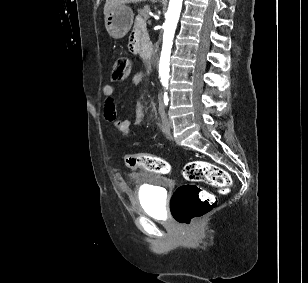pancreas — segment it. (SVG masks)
I'll use <instances>...</instances> for the list:
<instances>
[{"mask_svg":"<svg viewBox=\"0 0 308 283\" xmlns=\"http://www.w3.org/2000/svg\"><path fill=\"white\" fill-rule=\"evenodd\" d=\"M149 11H150L149 6H145L143 9H139L138 13H139V16L147 20L149 18Z\"/></svg>","mask_w":308,"mask_h":283,"instance_id":"1","label":"pancreas"}]
</instances>
